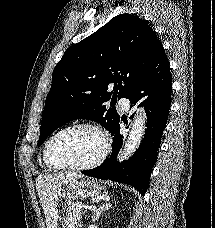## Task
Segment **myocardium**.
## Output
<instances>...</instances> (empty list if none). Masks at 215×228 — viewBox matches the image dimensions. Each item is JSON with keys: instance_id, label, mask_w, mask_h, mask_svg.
I'll use <instances>...</instances> for the list:
<instances>
[{"instance_id": "obj_1", "label": "myocardium", "mask_w": 215, "mask_h": 228, "mask_svg": "<svg viewBox=\"0 0 215 228\" xmlns=\"http://www.w3.org/2000/svg\"><path fill=\"white\" fill-rule=\"evenodd\" d=\"M76 128H87V129H92V130L96 131L101 136L102 141H103V147H102L101 152L95 159H93L92 161H90L88 163L82 164V165L57 166V165L53 164L49 159V150H50L52 143L58 136H60L64 132L72 130V129H76ZM110 149H111L110 138L107 135V133L99 125L91 123V122H76V123H72V124H69V125L61 128L47 140V142L44 146V149H43L42 157H43V161H44L45 165L52 170L85 171V170L95 168V167L99 166L100 164H102L103 161L105 160V158L107 157L108 153L110 152Z\"/></svg>"}]
</instances>
